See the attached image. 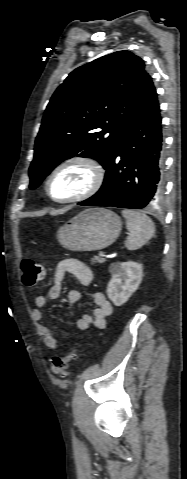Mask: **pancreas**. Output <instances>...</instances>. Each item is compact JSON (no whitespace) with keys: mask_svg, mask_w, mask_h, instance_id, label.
Listing matches in <instances>:
<instances>
[{"mask_svg":"<svg viewBox=\"0 0 187 479\" xmlns=\"http://www.w3.org/2000/svg\"><path fill=\"white\" fill-rule=\"evenodd\" d=\"M105 262V259L100 257V256H94L92 259H91V263L92 264H95V263H104Z\"/></svg>","mask_w":187,"mask_h":479,"instance_id":"1","label":"pancreas"}]
</instances>
